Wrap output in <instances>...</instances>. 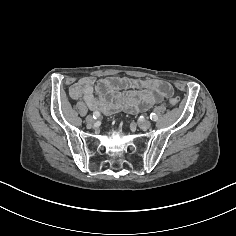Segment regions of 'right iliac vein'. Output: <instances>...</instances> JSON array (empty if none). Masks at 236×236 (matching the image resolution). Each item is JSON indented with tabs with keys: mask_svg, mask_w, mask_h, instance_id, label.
Masks as SVG:
<instances>
[{
	"mask_svg": "<svg viewBox=\"0 0 236 236\" xmlns=\"http://www.w3.org/2000/svg\"><path fill=\"white\" fill-rule=\"evenodd\" d=\"M87 124H93L94 123V118L91 115L86 116L85 118Z\"/></svg>",
	"mask_w": 236,
	"mask_h": 236,
	"instance_id": "1",
	"label": "right iliac vein"
}]
</instances>
